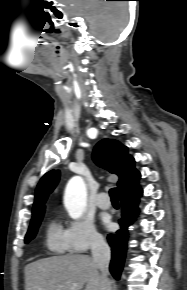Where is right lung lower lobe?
Wrapping results in <instances>:
<instances>
[{"label":"right lung lower lobe","instance_id":"right-lung-lower-lobe-1","mask_svg":"<svg viewBox=\"0 0 187 290\" xmlns=\"http://www.w3.org/2000/svg\"><path fill=\"white\" fill-rule=\"evenodd\" d=\"M139 193L138 195H141ZM138 195L135 197H124L121 199L122 218L119 220L120 229L107 236L112 250L110 272L115 279H119L125 260L128 239V227L133 223L138 214Z\"/></svg>","mask_w":187,"mask_h":290}]
</instances>
